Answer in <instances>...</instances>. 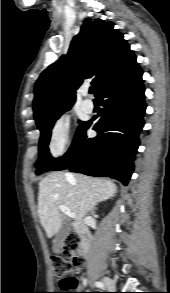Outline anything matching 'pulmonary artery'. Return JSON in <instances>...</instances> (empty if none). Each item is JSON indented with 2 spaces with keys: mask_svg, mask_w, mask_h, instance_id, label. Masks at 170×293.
<instances>
[{
  "mask_svg": "<svg viewBox=\"0 0 170 293\" xmlns=\"http://www.w3.org/2000/svg\"><path fill=\"white\" fill-rule=\"evenodd\" d=\"M87 95H88V92L84 91L83 96H87ZM82 109L87 113L92 112L94 109V105H93L92 101L85 99L82 103Z\"/></svg>",
  "mask_w": 170,
  "mask_h": 293,
  "instance_id": "obj_1",
  "label": "pulmonary artery"
}]
</instances>
